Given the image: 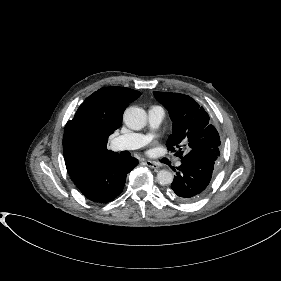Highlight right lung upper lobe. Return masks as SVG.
Returning a JSON list of instances; mask_svg holds the SVG:
<instances>
[{"instance_id":"cb5924a9","label":"right lung upper lobe","mask_w":281,"mask_h":281,"mask_svg":"<svg viewBox=\"0 0 281 281\" xmlns=\"http://www.w3.org/2000/svg\"><path fill=\"white\" fill-rule=\"evenodd\" d=\"M141 93L125 87H103L80 105L65 126L63 153L73 180L80 178L100 158L113 154L108 137L120 127L121 115Z\"/></svg>"}]
</instances>
